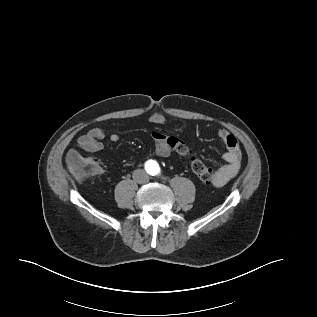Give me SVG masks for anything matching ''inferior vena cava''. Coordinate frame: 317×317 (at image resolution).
I'll return each instance as SVG.
<instances>
[{
  "mask_svg": "<svg viewBox=\"0 0 317 317\" xmlns=\"http://www.w3.org/2000/svg\"><path fill=\"white\" fill-rule=\"evenodd\" d=\"M132 177L138 184H145L149 182L148 174L142 169L135 170Z\"/></svg>",
  "mask_w": 317,
  "mask_h": 317,
  "instance_id": "1",
  "label": "inferior vena cava"
}]
</instances>
